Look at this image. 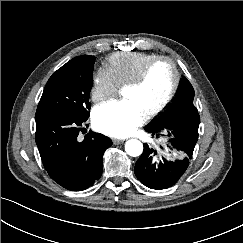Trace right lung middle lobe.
<instances>
[{
	"label": "right lung middle lobe",
	"instance_id": "right-lung-middle-lobe-1",
	"mask_svg": "<svg viewBox=\"0 0 243 243\" xmlns=\"http://www.w3.org/2000/svg\"><path fill=\"white\" fill-rule=\"evenodd\" d=\"M94 60L89 55L75 57L54 72L45 85L36 114L89 116Z\"/></svg>",
	"mask_w": 243,
	"mask_h": 243
}]
</instances>
